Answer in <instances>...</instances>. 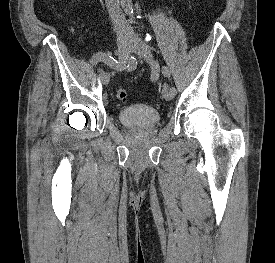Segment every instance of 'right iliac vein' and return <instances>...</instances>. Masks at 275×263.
I'll list each match as a JSON object with an SVG mask.
<instances>
[{
	"instance_id": "1",
	"label": "right iliac vein",
	"mask_w": 275,
	"mask_h": 263,
	"mask_svg": "<svg viewBox=\"0 0 275 263\" xmlns=\"http://www.w3.org/2000/svg\"><path fill=\"white\" fill-rule=\"evenodd\" d=\"M130 40L125 38H119L117 40V54L120 61L124 62L127 59L128 51L130 47ZM100 80L103 84H108L110 80V75L108 73L103 72L100 75Z\"/></svg>"
}]
</instances>
